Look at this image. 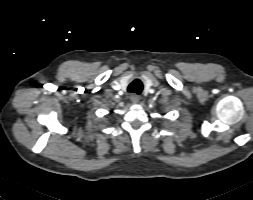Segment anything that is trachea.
<instances>
[{
	"label": "trachea",
	"instance_id": "3493384b",
	"mask_svg": "<svg viewBox=\"0 0 253 200\" xmlns=\"http://www.w3.org/2000/svg\"><path fill=\"white\" fill-rule=\"evenodd\" d=\"M142 89H143V85H142V82L139 79H135L128 86V91L136 93V94H140Z\"/></svg>",
	"mask_w": 253,
	"mask_h": 200
}]
</instances>
